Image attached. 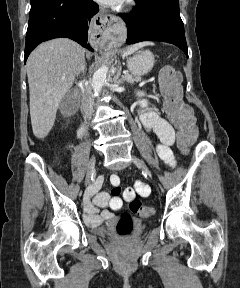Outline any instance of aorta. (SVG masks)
I'll return each instance as SVG.
<instances>
[{
	"label": "aorta",
	"mask_w": 240,
	"mask_h": 288,
	"mask_svg": "<svg viewBox=\"0 0 240 288\" xmlns=\"http://www.w3.org/2000/svg\"><path fill=\"white\" fill-rule=\"evenodd\" d=\"M107 72L108 67L103 65L93 74L92 87L95 96H97L100 93L103 85L105 84Z\"/></svg>",
	"instance_id": "1"
}]
</instances>
